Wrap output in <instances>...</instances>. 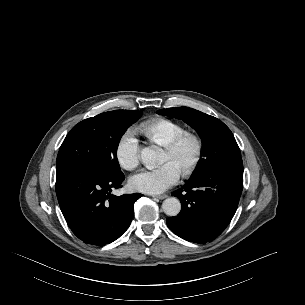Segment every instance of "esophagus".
Returning a JSON list of instances; mask_svg holds the SVG:
<instances>
[{"instance_id":"obj_1","label":"esophagus","mask_w":305,"mask_h":305,"mask_svg":"<svg viewBox=\"0 0 305 305\" xmlns=\"http://www.w3.org/2000/svg\"><path fill=\"white\" fill-rule=\"evenodd\" d=\"M153 197L155 199L163 200V199L167 198L168 196L164 194V195H153Z\"/></svg>"}]
</instances>
